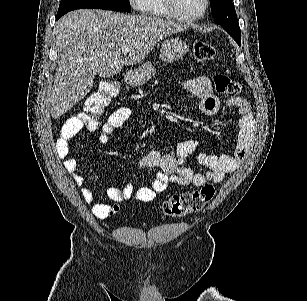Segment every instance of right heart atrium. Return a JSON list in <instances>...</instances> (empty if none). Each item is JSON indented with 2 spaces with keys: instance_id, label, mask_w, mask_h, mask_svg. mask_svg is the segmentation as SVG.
<instances>
[{
  "instance_id": "obj_1",
  "label": "right heart atrium",
  "mask_w": 307,
  "mask_h": 301,
  "mask_svg": "<svg viewBox=\"0 0 307 301\" xmlns=\"http://www.w3.org/2000/svg\"><path fill=\"white\" fill-rule=\"evenodd\" d=\"M131 4H136V11H151V4L146 0H131Z\"/></svg>"
}]
</instances>
